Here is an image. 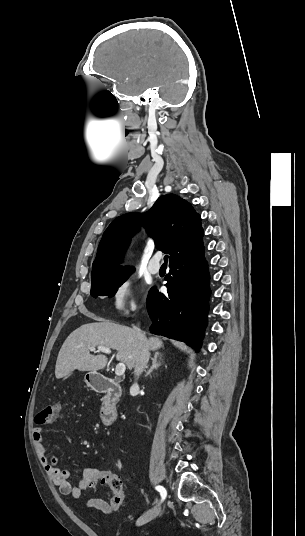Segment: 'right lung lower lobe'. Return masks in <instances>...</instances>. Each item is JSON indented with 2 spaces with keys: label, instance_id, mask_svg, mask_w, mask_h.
I'll return each instance as SVG.
<instances>
[{
  "label": "right lung lower lobe",
  "instance_id": "obj_1",
  "mask_svg": "<svg viewBox=\"0 0 305 536\" xmlns=\"http://www.w3.org/2000/svg\"><path fill=\"white\" fill-rule=\"evenodd\" d=\"M169 266L172 277L165 285L167 294L152 288L147 298V310L153 322L150 331L186 342L198 350L207 325L210 297L204 247L170 261Z\"/></svg>",
  "mask_w": 305,
  "mask_h": 536
}]
</instances>
